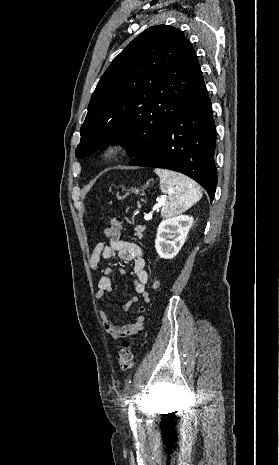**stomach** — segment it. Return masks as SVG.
I'll return each mask as SVG.
<instances>
[{
	"label": "stomach",
	"instance_id": "obj_1",
	"mask_svg": "<svg viewBox=\"0 0 279 465\" xmlns=\"http://www.w3.org/2000/svg\"><path fill=\"white\" fill-rule=\"evenodd\" d=\"M130 190H131L132 192H134V193H139V192H140V190L137 189V188H131Z\"/></svg>",
	"mask_w": 279,
	"mask_h": 465
}]
</instances>
